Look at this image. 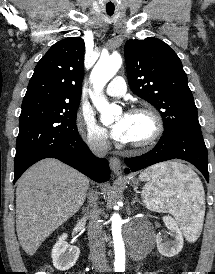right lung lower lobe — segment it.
<instances>
[{"instance_id": "obj_1", "label": "right lung lower lobe", "mask_w": 215, "mask_h": 274, "mask_svg": "<svg viewBox=\"0 0 215 274\" xmlns=\"http://www.w3.org/2000/svg\"><path fill=\"white\" fill-rule=\"evenodd\" d=\"M44 158L59 159L96 182L107 181L110 178L107 160L94 156L78 134L40 149L22 164L16 166L14 183L28 167Z\"/></svg>"}]
</instances>
